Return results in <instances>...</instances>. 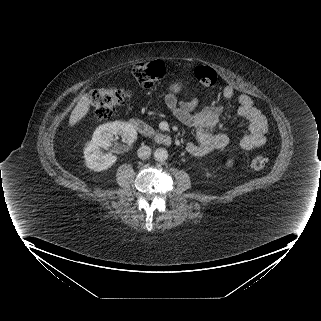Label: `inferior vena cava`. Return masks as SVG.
<instances>
[{
  "mask_svg": "<svg viewBox=\"0 0 321 321\" xmlns=\"http://www.w3.org/2000/svg\"><path fill=\"white\" fill-rule=\"evenodd\" d=\"M137 155L140 159H147L150 157L151 155V149L150 147L146 146V145H142L138 151H137Z\"/></svg>",
  "mask_w": 321,
  "mask_h": 321,
  "instance_id": "1",
  "label": "inferior vena cava"
}]
</instances>
